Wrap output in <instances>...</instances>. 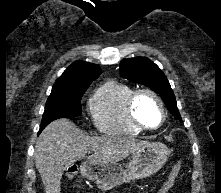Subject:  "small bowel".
<instances>
[{
	"instance_id": "c3829d8e",
	"label": "small bowel",
	"mask_w": 221,
	"mask_h": 193,
	"mask_svg": "<svg viewBox=\"0 0 221 193\" xmlns=\"http://www.w3.org/2000/svg\"><path fill=\"white\" fill-rule=\"evenodd\" d=\"M159 193H165V191L163 189H161Z\"/></svg>"
}]
</instances>
